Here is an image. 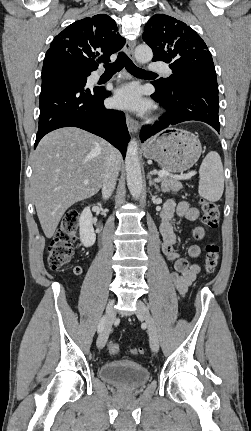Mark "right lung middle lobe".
<instances>
[{
	"label": "right lung middle lobe",
	"mask_w": 251,
	"mask_h": 431,
	"mask_svg": "<svg viewBox=\"0 0 251 431\" xmlns=\"http://www.w3.org/2000/svg\"><path fill=\"white\" fill-rule=\"evenodd\" d=\"M48 72H67L74 76H76L79 80L86 82L87 76L90 74L89 71L74 65L70 62L66 61H55L51 63L48 67L42 69V74Z\"/></svg>",
	"instance_id": "right-lung-middle-lobe-1"
}]
</instances>
